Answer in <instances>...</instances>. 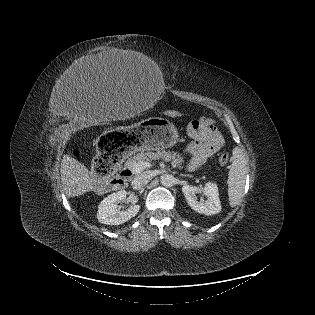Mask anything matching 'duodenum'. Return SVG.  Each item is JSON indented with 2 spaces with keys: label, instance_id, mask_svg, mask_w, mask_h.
Masks as SVG:
<instances>
[{
  "label": "duodenum",
  "instance_id": "duodenum-1",
  "mask_svg": "<svg viewBox=\"0 0 315 315\" xmlns=\"http://www.w3.org/2000/svg\"><path fill=\"white\" fill-rule=\"evenodd\" d=\"M131 176H132V172L130 169L126 167L122 168L118 176L117 185L118 186L126 185L127 181L129 180Z\"/></svg>",
  "mask_w": 315,
  "mask_h": 315
}]
</instances>
